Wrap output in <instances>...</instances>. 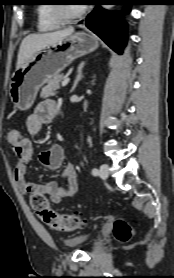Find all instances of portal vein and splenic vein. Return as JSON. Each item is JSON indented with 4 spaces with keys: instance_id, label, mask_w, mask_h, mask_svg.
<instances>
[{
    "instance_id": "obj_1",
    "label": "portal vein and splenic vein",
    "mask_w": 174,
    "mask_h": 278,
    "mask_svg": "<svg viewBox=\"0 0 174 278\" xmlns=\"http://www.w3.org/2000/svg\"><path fill=\"white\" fill-rule=\"evenodd\" d=\"M69 78H65L63 81H62V83H61V85L63 86V87H65L68 83H69Z\"/></svg>"
}]
</instances>
